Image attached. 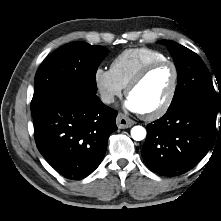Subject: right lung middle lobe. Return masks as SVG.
<instances>
[{
  "label": "right lung middle lobe",
  "mask_w": 221,
  "mask_h": 221,
  "mask_svg": "<svg viewBox=\"0 0 221 221\" xmlns=\"http://www.w3.org/2000/svg\"><path fill=\"white\" fill-rule=\"evenodd\" d=\"M108 50L86 42L68 43L48 56L34 80L32 115L52 97L68 91L96 95V71Z\"/></svg>",
  "instance_id": "obj_1"
}]
</instances>
